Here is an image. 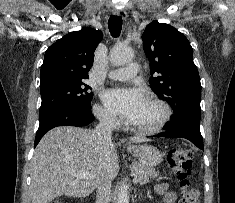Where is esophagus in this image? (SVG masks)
Listing matches in <instances>:
<instances>
[{
    "mask_svg": "<svg viewBox=\"0 0 235 203\" xmlns=\"http://www.w3.org/2000/svg\"><path fill=\"white\" fill-rule=\"evenodd\" d=\"M112 13L113 15L119 16L124 20L127 19V13L124 10L113 9Z\"/></svg>",
    "mask_w": 235,
    "mask_h": 203,
    "instance_id": "1",
    "label": "esophagus"
}]
</instances>
